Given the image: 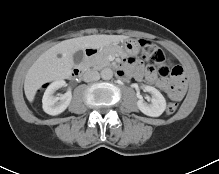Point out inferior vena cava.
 Returning a JSON list of instances; mask_svg holds the SVG:
<instances>
[{"mask_svg":"<svg viewBox=\"0 0 219 174\" xmlns=\"http://www.w3.org/2000/svg\"><path fill=\"white\" fill-rule=\"evenodd\" d=\"M99 79H100V74L98 71L95 70H88L83 75V80L85 82L97 81Z\"/></svg>","mask_w":219,"mask_h":174,"instance_id":"1","label":"inferior vena cava"}]
</instances>
